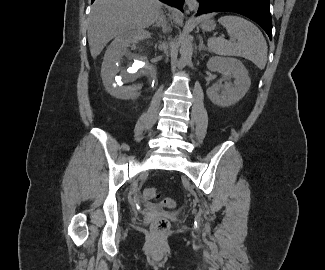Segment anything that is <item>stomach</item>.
Wrapping results in <instances>:
<instances>
[{
	"label": "stomach",
	"mask_w": 325,
	"mask_h": 270,
	"mask_svg": "<svg viewBox=\"0 0 325 270\" xmlns=\"http://www.w3.org/2000/svg\"><path fill=\"white\" fill-rule=\"evenodd\" d=\"M200 26L205 31H211L215 28L216 24L212 19H203Z\"/></svg>",
	"instance_id": "1"
}]
</instances>
